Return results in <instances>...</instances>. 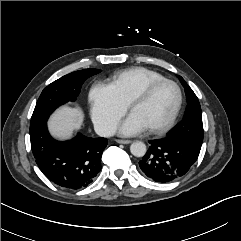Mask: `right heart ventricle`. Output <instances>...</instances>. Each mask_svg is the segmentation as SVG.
I'll use <instances>...</instances> for the list:
<instances>
[{
  "label": "right heart ventricle",
  "mask_w": 241,
  "mask_h": 241,
  "mask_svg": "<svg viewBox=\"0 0 241 241\" xmlns=\"http://www.w3.org/2000/svg\"><path fill=\"white\" fill-rule=\"evenodd\" d=\"M161 79H164V77L156 71L143 67H134L114 75L111 85L118 96L126 104H129L132 98L145 86Z\"/></svg>",
  "instance_id": "e07e8e85"
}]
</instances>
